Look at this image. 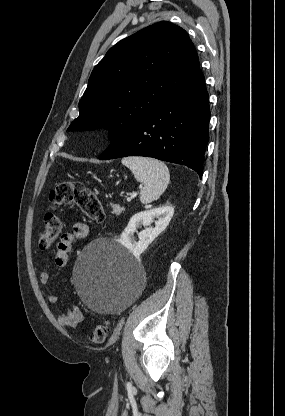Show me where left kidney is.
Listing matches in <instances>:
<instances>
[{
    "label": "left kidney",
    "mask_w": 285,
    "mask_h": 416,
    "mask_svg": "<svg viewBox=\"0 0 285 416\" xmlns=\"http://www.w3.org/2000/svg\"><path fill=\"white\" fill-rule=\"evenodd\" d=\"M173 214L174 208L172 206H161V208H153V210H146V212L135 214V216L130 218L128 226H126L124 232L121 234L120 242L122 246L130 250L133 256H140V254H143L147 250L149 244L167 228ZM154 218H158L157 222H155V228H145V230L139 232V242H136L133 236L137 230V226L139 224L151 226Z\"/></svg>",
    "instance_id": "left-kidney-1"
}]
</instances>
